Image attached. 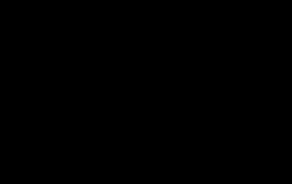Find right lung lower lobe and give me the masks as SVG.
I'll use <instances>...</instances> for the list:
<instances>
[{"label":"right lung lower lobe","mask_w":292,"mask_h":184,"mask_svg":"<svg viewBox=\"0 0 292 184\" xmlns=\"http://www.w3.org/2000/svg\"><path fill=\"white\" fill-rule=\"evenodd\" d=\"M129 92H130L129 88L122 90L121 93H119L118 96L114 99L112 109H114L122 100L128 97ZM100 124H104V121H100L99 125Z\"/></svg>","instance_id":"obj_1"}]
</instances>
